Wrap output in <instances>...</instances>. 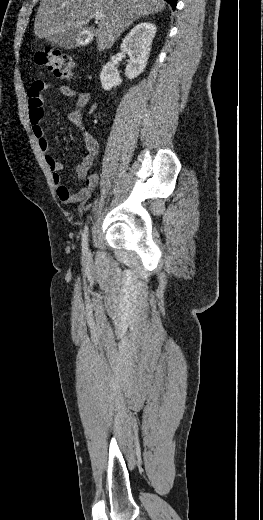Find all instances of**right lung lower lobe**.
<instances>
[{
  "mask_svg": "<svg viewBox=\"0 0 263 520\" xmlns=\"http://www.w3.org/2000/svg\"><path fill=\"white\" fill-rule=\"evenodd\" d=\"M165 1H167L172 6L173 10H175L177 0H165Z\"/></svg>",
  "mask_w": 263,
  "mask_h": 520,
  "instance_id": "obj_1",
  "label": "right lung lower lobe"
}]
</instances>
